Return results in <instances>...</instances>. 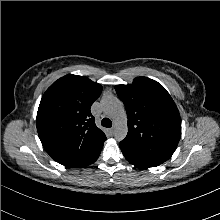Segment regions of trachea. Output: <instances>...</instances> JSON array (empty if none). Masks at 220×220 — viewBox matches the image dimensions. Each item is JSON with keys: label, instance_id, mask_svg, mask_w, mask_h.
Instances as JSON below:
<instances>
[{"label": "trachea", "instance_id": "obj_1", "mask_svg": "<svg viewBox=\"0 0 220 220\" xmlns=\"http://www.w3.org/2000/svg\"><path fill=\"white\" fill-rule=\"evenodd\" d=\"M101 124L104 127L110 128L112 126V121L109 118H103Z\"/></svg>", "mask_w": 220, "mask_h": 220}]
</instances>
